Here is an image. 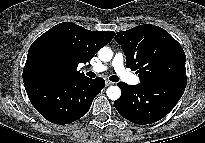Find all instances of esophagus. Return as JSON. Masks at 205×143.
Masks as SVG:
<instances>
[{
    "label": "esophagus",
    "instance_id": "1",
    "mask_svg": "<svg viewBox=\"0 0 205 143\" xmlns=\"http://www.w3.org/2000/svg\"><path fill=\"white\" fill-rule=\"evenodd\" d=\"M106 86H111V85H113V82H111V81H109V80H106Z\"/></svg>",
    "mask_w": 205,
    "mask_h": 143
}]
</instances>
